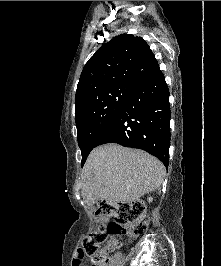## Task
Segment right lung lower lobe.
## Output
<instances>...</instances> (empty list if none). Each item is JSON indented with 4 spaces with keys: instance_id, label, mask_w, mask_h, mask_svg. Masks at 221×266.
Wrapping results in <instances>:
<instances>
[{
    "instance_id": "right-lung-lower-lobe-1",
    "label": "right lung lower lobe",
    "mask_w": 221,
    "mask_h": 266,
    "mask_svg": "<svg viewBox=\"0 0 221 266\" xmlns=\"http://www.w3.org/2000/svg\"><path fill=\"white\" fill-rule=\"evenodd\" d=\"M169 89L159 69L138 85L123 109L99 136L96 146L117 143L147 151L169 164Z\"/></svg>"
}]
</instances>
